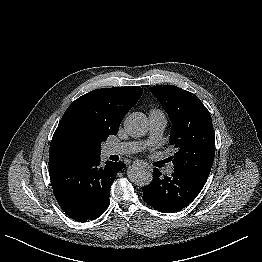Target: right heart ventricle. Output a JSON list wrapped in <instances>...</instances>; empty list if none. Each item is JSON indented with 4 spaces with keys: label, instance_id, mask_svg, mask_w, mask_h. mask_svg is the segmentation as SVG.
Listing matches in <instances>:
<instances>
[{
    "label": "right heart ventricle",
    "instance_id": "obj_1",
    "mask_svg": "<svg viewBox=\"0 0 262 262\" xmlns=\"http://www.w3.org/2000/svg\"><path fill=\"white\" fill-rule=\"evenodd\" d=\"M160 111H158V110H153V111H151V113H159Z\"/></svg>",
    "mask_w": 262,
    "mask_h": 262
}]
</instances>
